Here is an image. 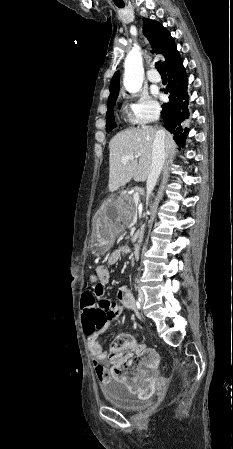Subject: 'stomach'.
<instances>
[{"instance_id":"obj_1","label":"stomach","mask_w":233,"mask_h":449,"mask_svg":"<svg viewBox=\"0 0 233 449\" xmlns=\"http://www.w3.org/2000/svg\"><path fill=\"white\" fill-rule=\"evenodd\" d=\"M119 201L120 198L102 201L101 208L103 212H94V221H96L98 236L92 248L95 254H102L111 247L110 232H112L113 227H117V220L121 215Z\"/></svg>"}]
</instances>
